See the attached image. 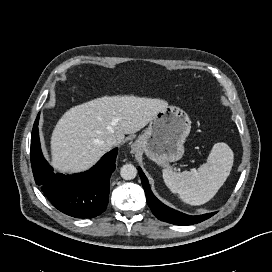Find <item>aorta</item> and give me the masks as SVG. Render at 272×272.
Returning a JSON list of instances; mask_svg holds the SVG:
<instances>
[{"label": "aorta", "mask_w": 272, "mask_h": 272, "mask_svg": "<svg viewBox=\"0 0 272 272\" xmlns=\"http://www.w3.org/2000/svg\"><path fill=\"white\" fill-rule=\"evenodd\" d=\"M120 175L125 180H132L137 175V169L132 164H125L120 170Z\"/></svg>", "instance_id": "obj_1"}]
</instances>
